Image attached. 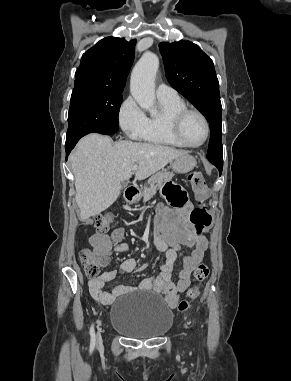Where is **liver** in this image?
I'll list each match as a JSON object with an SVG mask.
<instances>
[{"label": "liver", "mask_w": 291, "mask_h": 381, "mask_svg": "<svg viewBox=\"0 0 291 381\" xmlns=\"http://www.w3.org/2000/svg\"><path fill=\"white\" fill-rule=\"evenodd\" d=\"M184 154L187 152L151 143L124 140L113 144L110 137L100 134L83 137L70 155L79 219L86 221L109 208L135 164V178L144 180Z\"/></svg>", "instance_id": "6515ba94"}]
</instances>
